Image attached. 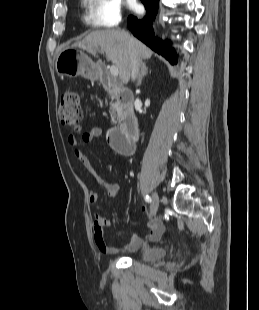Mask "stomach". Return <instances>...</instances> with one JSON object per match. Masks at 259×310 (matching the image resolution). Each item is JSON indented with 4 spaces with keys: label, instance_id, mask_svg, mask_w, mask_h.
<instances>
[{
    "label": "stomach",
    "instance_id": "stomach-1",
    "mask_svg": "<svg viewBox=\"0 0 259 310\" xmlns=\"http://www.w3.org/2000/svg\"><path fill=\"white\" fill-rule=\"evenodd\" d=\"M56 71L69 77L79 75L94 79L96 77L93 71L92 61L77 47H66L57 56L55 63Z\"/></svg>",
    "mask_w": 259,
    "mask_h": 310
}]
</instances>
